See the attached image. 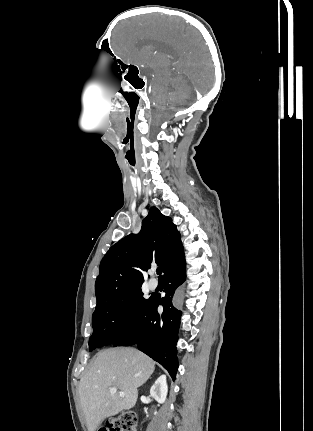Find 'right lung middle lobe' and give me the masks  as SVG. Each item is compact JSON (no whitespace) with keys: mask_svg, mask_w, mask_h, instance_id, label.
<instances>
[{"mask_svg":"<svg viewBox=\"0 0 313 431\" xmlns=\"http://www.w3.org/2000/svg\"><path fill=\"white\" fill-rule=\"evenodd\" d=\"M150 298L145 299L138 287L98 302L92 316L89 350L110 345L126 334L139 320Z\"/></svg>","mask_w":313,"mask_h":431,"instance_id":"right-lung-middle-lobe-1","label":"right lung middle lobe"}]
</instances>
